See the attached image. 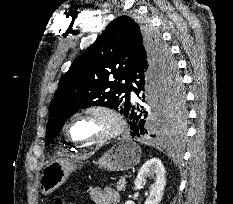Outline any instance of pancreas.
<instances>
[{
  "instance_id": "obj_1",
  "label": "pancreas",
  "mask_w": 233,
  "mask_h": 204,
  "mask_svg": "<svg viewBox=\"0 0 233 204\" xmlns=\"http://www.w3.org/2000/svg\"><path fill=\"white\" fill-rule=\"evenodd\" d=\"M116 189L118 191H124L126 189V181L125 180H119L116 185Z\"/></svg>"
}]
</instances>
